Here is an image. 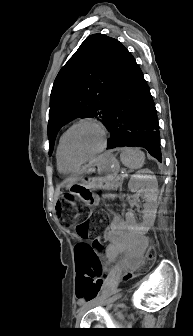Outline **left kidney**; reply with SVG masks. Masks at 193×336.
<instances>
[{
    "mask_svg": "<svg viewBox=\"0 0 193 336\" xmlns=\"http://www.w3.org/2000/svg\"><path fill=\"white\" fill-rule=\"evenodd\" d=\"M150 170H141L132 175L128 188L131 192L144 194L146 204L143 210V222L138 225L131 212L126 213V220L129 224L141 231H147L153 224L157 208L158 182Z\"/></svg>",
    "mask_w": 193,
    "mask_h": 336,
    "instance_id": "left-kidney-1",
    "label": "left kidney"
}]
</instances>
